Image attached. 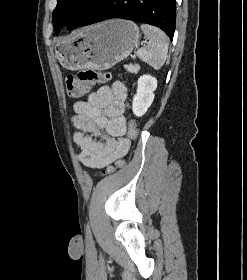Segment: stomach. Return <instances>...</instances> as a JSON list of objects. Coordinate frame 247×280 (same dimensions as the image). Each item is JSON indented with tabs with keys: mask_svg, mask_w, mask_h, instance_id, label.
Instances as JSON below:
<instances>
[{
	"mask_svg": "<svg viewBox=\"0 0 247 280\" xmlns=\"http://www.w3.org/2000/svg\"><path fill=\"white\" fill-rule=\"evenodd\" d=\"M140 37L128 20H111L80 29L69 41L57 45V55L69 70H106L126 59Z\"/></svg>",
	"mask_w": 247,
	"mask_h": 280,
	"instance_id": "1",
	"label": "stomach"
}]
</instances>
